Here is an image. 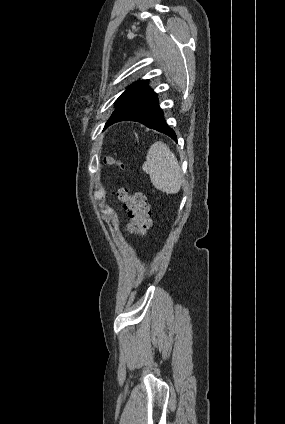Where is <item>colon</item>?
I'll return each mask as SVG.
<instances>
[{
	"label": "colon",
	"mask_w": 285,
	"mask_h": 424,
	"mask_svg": "<svg viewBox=\"0 0 285 424\" xmlns=\"http://www.w3.org/2000/svg\"><path fill=\"white\" fill-rule=\"evenodd\" d=\"M104 163L108 165L117 164L123 167V164L118 163L112 157H107ZM115 195L127 211L130 220L126 227L128 233L137 235L145 232L151 222V209L146 195L140 192L130 193L126 189H119Z\"/></svg>",
	"instance_id": "1"
}]
</instances>
